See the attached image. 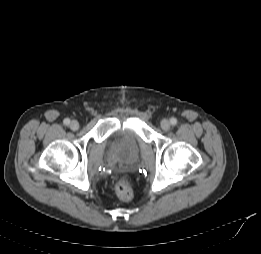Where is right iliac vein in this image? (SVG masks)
I'll list each match as a JSON object with an SVG mask.
<instances>
[{
	"mask_svg": "<svg viewBox=\"0 0 261 254\" xmlns=\"http://www.w3.org/2000/svg\"><path fill=\"white\" fill-rule=\"evenodd\" d=\"M70 128L72 130H77L79 128V122L77 120H72L70 123Z\"/></svg>",
	"mask_w": 261,
	"mask_h": 254,
	"instance_id": "obj_1",
	"label": "right iliac vein"
}]
</instances>
